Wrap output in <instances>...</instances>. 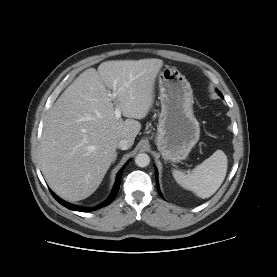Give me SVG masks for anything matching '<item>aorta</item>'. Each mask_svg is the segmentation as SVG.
Here are the masks:
<instances>
[{
    "instance_id": "1",
    "label": "aorta",
    "mask_w": 277,
    "mask_h": 277,
    "mask_svg": "<svg viewBox=\"0 0 277 277\" xmlns=\"http://www.w3.org/2000/svg\"><path fill=\"white\" fill-rule=\"evenodd\" d=\"M135 163L137 166L139 167H146L149 165L150 163V157L149 155H147L146 153H141V154H138L136 157H135Z\"/></svg>"
}]
</instances>
